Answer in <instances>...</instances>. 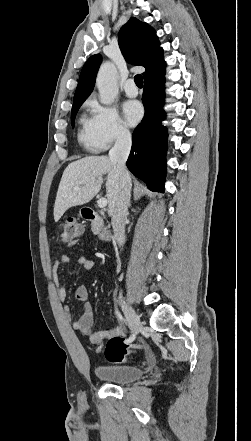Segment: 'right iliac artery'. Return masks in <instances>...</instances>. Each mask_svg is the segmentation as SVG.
<instances>
[{
    "instance_id": "right-iliac-artery-1",
    "label": "right iliac artery",
    "mask_w": 251,
    "mask_h": 441,
    "mask_svg": "<svg viewBox=\"0 0 251 441\" xmlns=\"http://www.w3.org/2000/svg\"><path fill=\"white\" fill-rule=\"evenodd\" d=\"M116 314H117L118 318H119L121 321H123L125 324H127L126 321L124 320V318L122 317L121 313H120L118 310L116 311ZM134 339H135V335L132 334V335L127 339V341H128V342H132Z\"/></svg>"
}]
</instances>
